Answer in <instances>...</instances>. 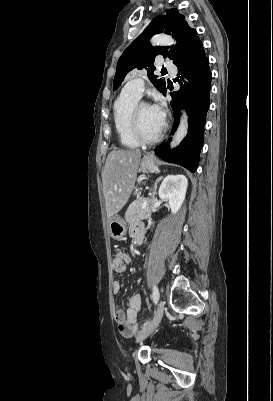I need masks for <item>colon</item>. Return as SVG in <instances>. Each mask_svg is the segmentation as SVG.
Segmentation results:
<instances>
[{
    "label": "colon",
    "mask_w": 273,
    "mask_h": 401,
    "mask_svg": "<svg viewBox=\"0 0 273 401\" xmlns=\"http://www.w3.org/2000/svg\"><path fill=\"white\" fill-rule=\"evenodd\" d=\"M116 321L119 323V321H118V317L116 318Z\"/></svg>",
    "instance_id": "colon-1"
}]
</instances>
